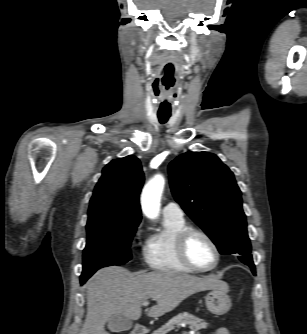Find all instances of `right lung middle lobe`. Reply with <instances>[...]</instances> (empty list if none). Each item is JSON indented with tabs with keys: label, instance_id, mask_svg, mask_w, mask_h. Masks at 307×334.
<instances>
[{
	"label": "right lung middle lobe",
	"instance_id": "1",
	"mask_svg": "<svg viewBox=\"0 0 307 334\" xmlns=\"http://www.w3.org/2000/svg\"><path fill=\"white\" fill-rule=\"evenodd\" d=\"M139 223L114 221L87 222V243L83 251L85 282L95 271L110 265H122L131 256L130 244Z\"/></svg>",
	"mask_w": 307,
	"mask_h": 334
}]
</instances>
